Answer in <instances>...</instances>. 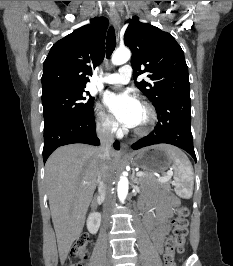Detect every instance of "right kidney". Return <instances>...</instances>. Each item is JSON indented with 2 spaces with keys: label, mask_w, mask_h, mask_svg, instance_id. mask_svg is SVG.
I'll use <instances>...</instances> for the list:
<instances>
[{
  "label": "right kidney",
  "mask_w": 233,
  "mask_h": 266,
  "mask_svg": "<svg viewBox=\"0 0 233 266\" xmlns=\"http://www.w3.org/2000/svg\"><path fill=\"white\" fill-rule=\"evenodd\" d=\"M101 223L100 213H91L87 219V229L90 233H97Z\"/></svg>",
  "instance_id": "1"
}]
</instances>
